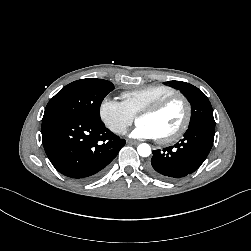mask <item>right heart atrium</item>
<instances>
[{
  "label": "right heart atrium",
  "mask_w": 251,
  "mask_h": 251,
  "mask_svg": "<svg viewBox=\"0 0 251 251\" xmlns=\"http://www.w3.org/2000/svg\"><path fill=\"white\" fill-rule=\"evenodd\" d=\"M99 116L104 125L118 135H123L127 132L135 117L123 102L109 97L101 101Z\"/></svg>",
  "instance_id": "1"
}]
</instances>
